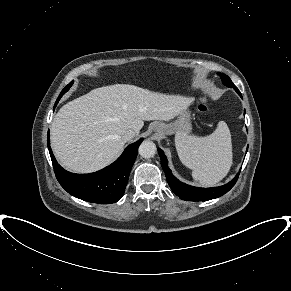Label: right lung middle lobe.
Segmentation results:
<instances>
[{
	"label": "right lung middle lobe",
	"instance_id": "1",
	"mask_svg": "<svg viewBox=\"0 0 291 291\" xmlns=\"http://www.w3.org/2000/svg\"><path fill=\"white\" fill-rule=\"evenodd\" d=\"M72 84H73V81L62 90V92L60 93V95L55 103V106L58 103V101L60 100V98L62 97V95L65 94L69 90V88L72 86Z\"/></svg>",
	"mask_w": 291,
	"mask_h": 291
}]
</instances>
